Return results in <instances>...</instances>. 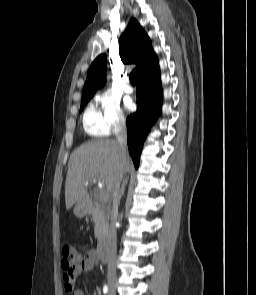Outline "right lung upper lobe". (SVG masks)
<instances>
[{"mask_svg":"<svg viewBox=\"0 0 256 295\" xmlns=\"http://www.w3.org/2000/svg\"><path fill=\"white\" fill-rule=\"evenodd\" d=\"M119 55L123 63H135L136 78L158 63L147 34L135 19H131L119 39ZM106 55H99L90 66L82 98L92 97L105 84Z\"/></svg>","mask_w":256,"mask_h":295,"instance_id":"right-lung-upper-lobe-1","label":"right lung upper lobe"}]
</instances>
